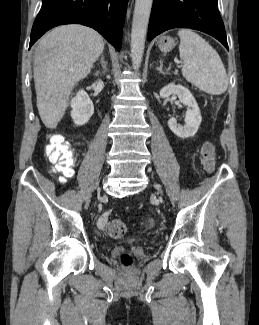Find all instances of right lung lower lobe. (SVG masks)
Segmentation results:
<instances>
[{
    "mask_svg": "<svg viewBox=\"0 0 259 325\" xmlns=\"http://www.w3.org/2000/svg\"><path fill=\"white\" fill-rule=\"evenodd\" d=\"M127 3L128 0H43L29 48L49 29L77 23L94 28L119 51Z\"/></svg>",
    "mask_w": 259,
    "mask_h": 325,
    "instance_id": "1",
    "label": "right lung lower lobe"
}]
</instances>
